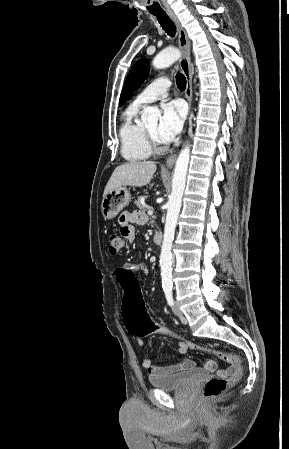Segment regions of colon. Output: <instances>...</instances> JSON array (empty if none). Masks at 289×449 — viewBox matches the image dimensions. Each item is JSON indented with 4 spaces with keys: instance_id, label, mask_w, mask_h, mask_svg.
I'll use <instances>...</instances> for the list:
<instances>
[{
    "instance_id": "1",
    "label": "colon",
    "mask_w": 289,
    "mask_h": 449,
    "mask_svg": "<svg viewBox=\"0 0 289 449\" xmlns=\"http://www.w3.org/2000/svg\"><path fill=\"white\" fill-rule=\"evenodd\" d=\"M125 246V239L121 234L113 233L109 236V250L112 254H118ZM116 280L123 292L122 305L124 313V323L126 328L137 336H146L156 334L160 336L184 339L189 347L198 351H202L214 355L230 364L236 369L229 376H217L211 378L204 387V395L206 398H214L221 395L229 387L235 385L244 375V365L240 358L230 352L208 347L206 345L187 340L168 328L155 324L148 316L140 290L136 283L132 268H116Z\"/></svg>"
}]
</instances>
